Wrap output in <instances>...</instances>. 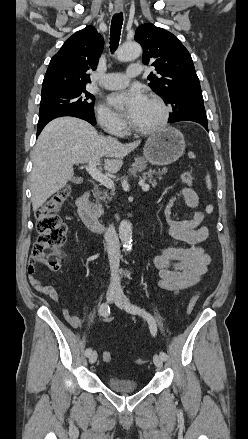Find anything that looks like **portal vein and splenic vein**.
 Segmentation results:
<instances>
[{
    "instance_id": "obj_1",
    "label": "portal vein and splenic vein",
    "mask_w": 248,
    "mask_h": 439,
    "mask_svg": "<svg viewBox=\"0 0 248 439\" xmlns=\"http://www.w3.org/2000/svg\"><path fill=\"white\" fill-rule=\"evenodd\" d=\"M86 171L93 177L96 181L100 182L106 188L114 190V181L108 176L104 175L99 169H97V164L94 161H90L88 165L85 166ZM139 185L142 187L143 191L149 190V185L145 184L144 181H140Z\"/></svg>"
}]
</instances>
